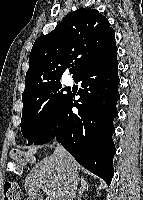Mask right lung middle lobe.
<instances>
[{
    "label": "right lung middle lobe",
    "instance_id": "1",
    "mask_svg": "<svg viewBox=\"0 0 143 200\" xmlns=\"http://www.w3.org/2000/svg\"><path fill=\"white\" fill-rule=\"evenodd\" d=\"M60 81L47 83L22 94L21 132L33 144L69 94H64Z\"/></svg>",
    "mask_w": 143,
    "mask_h": 200
}]
</instances>
